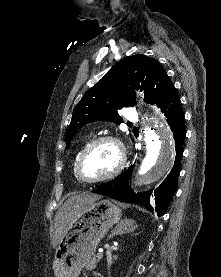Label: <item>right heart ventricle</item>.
Wrapping results in <instances>:
<instances>
[{
	"label": "right heart ventricle",
	"mask_w": 221,
	"mask_h": 277,
	"mask_svg": "<svg viewBox=\"0 0 221 277\" xmlns=\"http://www.w3.org/2000/svg\"><path fill=\"white\" fill-rule=\"evenodd\" d=\"M89 143L88 140H86L82 145L81 147L77 150L76 154H75V157H74V161H73V170H74V166H75V161L79 155V153L81 152V150ZM74 174H75V171H74Z\"/></svg>",
	"instance_id": "right-heart-ventricle-1"
}]
</instances>
